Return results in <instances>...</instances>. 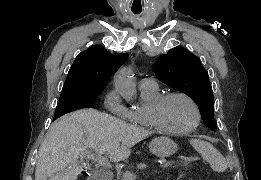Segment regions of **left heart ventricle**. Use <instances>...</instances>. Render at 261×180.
I'll use <instances>...</instances> for the list:
<instances>
[{
    "mask_svg": "<svg viewBox=\"0 0 261 180\" xmlns=\"http://www.w3.org/2000/svg\"><path fill=\"white\" fill-rule=\"evenodd\" d=\"M194 117L191 105L181 98L170 99L164 106L147 116L155 121L162 131L168 133L185 131L192 125Z\"/></svg>",
    "mask_w": 261,
    "mask_h": 180,
    "instance_id": "1",
    "label": "left heart ventricle"
}]
</instances>
